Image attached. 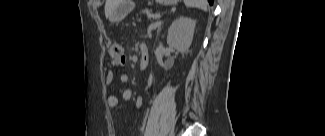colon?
<instances>
[{
  "label": "colon",
  "instance_id": "5ec220e1",
  "mask_svg": "<svg viewBox=\"0 0 325 136\" xmlns=\"http://www.w3.org/2000/svg\"><path fill=\"white\" fill-rule=\"evenodd\" d=\"M108 53L111 59L115 61H123L124 60V49L122 45L118 42H113L109 45Z\"/></svg>",
  "mask_w": 325,
  "mask_h": 136
}]
</instances>
